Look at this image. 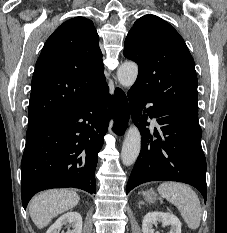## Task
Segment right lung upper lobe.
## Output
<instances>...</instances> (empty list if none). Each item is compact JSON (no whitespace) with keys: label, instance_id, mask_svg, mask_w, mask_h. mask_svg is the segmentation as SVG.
<instances>
[{"label":"right lung upper lobe","instance_id":"1","mask_svg":"<svg viewBox=\"0 0 227 233\" xmlns=\"http://www.w3.org/2000/svg\"><path fill=\"white\" fill-rule=\"evenodd\" d=\"M99 37L91 20L64 22L46 41L31 85L28 127L93 96L107 84Z\"/></svg>","mask_w":227,"mask_h":233}]
</instances>
